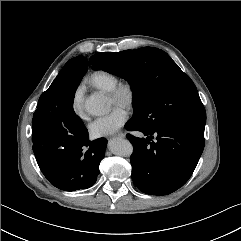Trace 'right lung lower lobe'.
I'll return each instance as SVG.
<instances>
[{
  "mask_svg": "<svg viewBox=\"0 0 241 241\" xmlns=\"http://www.w3.org/2000/svg\"><path fill=\"white\" fill-rule=\"evenodd\" d=\"M33 151L40 170L55 187L75 191L91 187L99 174V164L104 158L107 140L90 141L88 132L76 143L64 148H52L33 129Z\"/></svg>",
  "mask_w": 241,
  "mask_h": 241,
  "instance_id": "98d812e1",
  "label": "right lung lower lobe"
}]
</instances>
